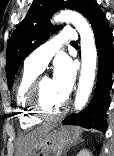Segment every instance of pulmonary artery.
I'll return each mask as SVG.
<instances>
[{
	"mask_svg": "<svg viewBox=\"0 0 114 156\" xmlns=\"http://www.w3.org/2000/svg\"><path fill=\"white\" fill-rule=\"evenodd\" d=\"M78 38L72 28L64 29L60 34L34 50L25 60V64L43 71L53 55L65 42H75Z\"/></svg>",
	"mask_w": 114,
	"mask_h": 156,
	"instance_id": "pulmonary-artery-1",
	"label": "pulmonary artery"
}]
</instances>
